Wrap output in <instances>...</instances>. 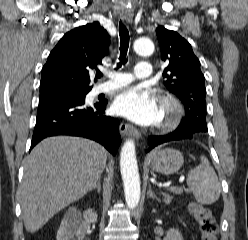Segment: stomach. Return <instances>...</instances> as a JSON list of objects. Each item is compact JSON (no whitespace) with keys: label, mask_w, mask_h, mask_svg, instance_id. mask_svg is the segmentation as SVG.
I'll list each match as a JSON object with an SVG mask.
<instances>
[{"label":"stomach","mask_w":248,"mask_h":240,"mask_svg":"<svg viewBox=\"0 0 248 240\" xmlns=\"http://www.w3.org/2000/svg\"><path fill=\"white\" fill-rule=\"evenodd\" d=\"M148 160L153 170L165 175L177 172L184 163L182 153L171 148L153 152Z\"/></svg>","instance_id":"1"}]
</instances>
